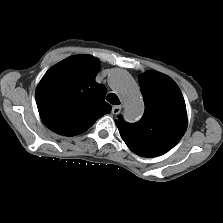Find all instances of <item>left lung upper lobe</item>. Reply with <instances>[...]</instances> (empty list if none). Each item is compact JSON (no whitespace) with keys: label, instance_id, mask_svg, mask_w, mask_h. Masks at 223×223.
<instances>
[{"label":"left lung upper lobe","instance_id":"obj_1","mask_svg":"<svg viewBox=\"0 0 223 223\" xmlns=\"http://www.w3.org/2000/svg\"><path fill=\"white\" fill-rule=\"evenodd\" d=\"M145 103L143 117L136 123L116 120L124 142L135 154L160 156L173 148L187 128V113L183 95L168 76L147 71L139 76Z\"/></svg>","mask_w":223,"mask_h":223}]
</instances>
